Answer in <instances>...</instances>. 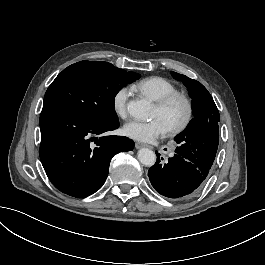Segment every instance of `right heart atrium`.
I'll use <instances>...</instances> for the list:
<instances>
[{
    "instance_id": "obj_1",
    "label": "right heart atrium",
    "mask_w": 265,
    "mask_h": 265,
    "mask_svg": "<svg viewBox=\"0 0 265 265\" xmlns=\"http://www.w3.org/2000/svg\"><path fill=\"white\" fill-rule=\"evenodd\" d=\"M130 93L127 89L121 88L116 91V94L111 97V104L114 106L116 116L119 119H126L130 109Z\"/></svg>"
}]
</instances>
